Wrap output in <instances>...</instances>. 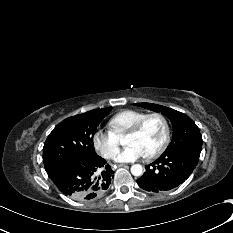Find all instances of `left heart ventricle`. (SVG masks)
<instances>
[{
	"instance_id": "1",
	"label": "left heart ventricle",
	"mask_w": 233,
	"mask_h": 233,
	"mask_svg": "<svg viewBox=\"0 0 233 233\" xmlns=\"http://www.w3.org/2000/svg\"><path fill=\"white\" fill-rule=\"evenodd\" d=\"M163 136L164 127L161 120L157 117H153L146 121L137 134L125 135L124 143L126 145L136 144L147 155L159 145Z\"/></svg>"
}]
</instances>
